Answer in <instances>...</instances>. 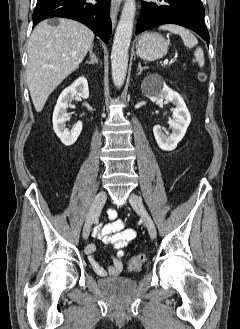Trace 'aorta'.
Wrapping results in <instances>:
<instances>
[{"mask_svg": "<svg viewBox=\"0 0 240 329\" xmlns=\"http://www.w3.org/2000/svg\"><path fill=\"white\" fill-rule=\"evenodd\" d=\"M135 12V0H125L111 51L112 80L117 88L122 87L127 73Z\"/></svg>", "mask_w": 240, "mask_h": 329, "instance_id": "obj_1", "label": "aorta"}]
</instances>
